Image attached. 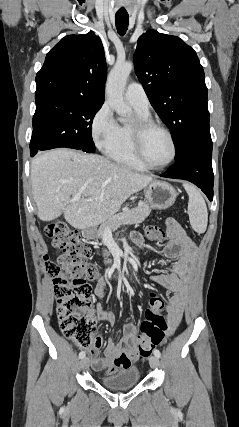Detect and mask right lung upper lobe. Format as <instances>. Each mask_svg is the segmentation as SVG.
I'll return each instance as SVG.
<instances>
[{
	"label": "right lung upper lobe",
	"mask_w": 239,
	"mask_h": 427,
	"mask_svg": "<svg viewBox=\"0 0 239 427\" xmlns=\"http://www.w3.org/2000/svg\"><path fill=\"white\" fill-rule=\"evenodd\" d=\"M107 66L99 36L68 35L51 49L36 75L35 100L69 99L103 104Z\"/></svg>",
	"instance_id": "right-lung-upper-lobe-1"
}]
</instances>
